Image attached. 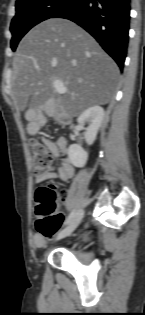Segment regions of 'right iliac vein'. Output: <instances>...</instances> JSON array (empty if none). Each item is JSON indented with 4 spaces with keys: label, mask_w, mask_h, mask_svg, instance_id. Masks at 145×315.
<instances>
[{
    "label": "right iliac vein",
    "mask_w": 145,
    "mask_h": 315,
    "mask_svg": "<svg viewBox=\"0 0 145 315\" xmlns=\"http://www.w3.org/2000/svg\"><path fill=\"white\" fill-rule=\"evenodd\" d=\"M84 212L83 210H80L76 215L72 218L70 223L68 224L67 227H65L62 231H60L56 237L55 240L62 239L66 236H69L75 229L76 227L80 224L82 218H83Z\"/></svg>",
    "instance_id": "63e3f726"
}]
</instances>
